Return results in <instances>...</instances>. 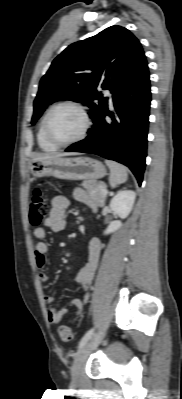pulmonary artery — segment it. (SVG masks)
<instances>
[{
	"label": "pulmonary artery",
	"mask_w": 182,
	"mask_h": 399,
	"mask_svg": "<svg viewBox=\"0 0 182 399\" xmlns=\"http://www.w3.org/2000/svg\"><path fill=\"white\" fill-rule=\"evenodd\" d=\"M107 95H108L109 98H110V102H112V97H111L112 95H111V92H110L109 90L107 91Z\"/></svg>",
	"instance_id": "e3ab8cb5"
}]
</instances>
